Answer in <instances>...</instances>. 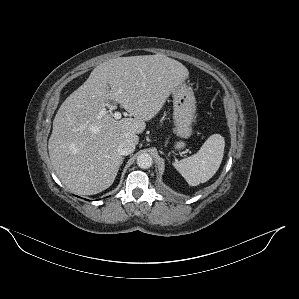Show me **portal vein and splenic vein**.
I'll return each instance as SVG.
<instances>
[{
  "mask_svg": "<svg viewBox=\"0 0 299 299\" xmlns=\"http://www.w3.org/2000/svg\"><path fill=\"white\" fill-rule=\"evenodd\" d=\"M103 113V112H102ZM113 117L115 118V119H120L121 118V113L120 112H115L114 114H113Z\"/></svg>",
  "mask_w": 299,
  "mask_h": 299,
  "instance_id": "obj_1",
  "label": "portal vein and splenic vein"
}]
</instances>
